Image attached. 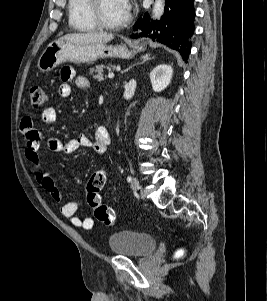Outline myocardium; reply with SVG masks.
Listing matches in <instances>:
<instances>
[{"label":"myocardium","instance_id":"myocardium-1","mask_svg":"<svg viewBox=\"0 0 267 301\" xmlns=\"http://www.w3.org/2000/svg\"><path fill=\"white\" fill-rule=\"evenodd\" d=\"M102 0H90V15L96 26L104 30H117L125 27L131 19L129 6L126 16L117 23H108L101 15Z\"/></svg>","mask_w":267,"mask_h":301}]
</instances>
